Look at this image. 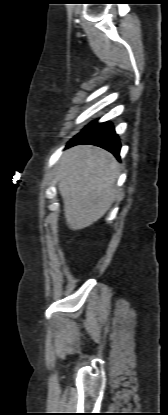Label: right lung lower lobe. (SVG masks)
Returning <instances> with one entry per match:
<instances>
[{
    "instance_id": "right-lung-lower-lobe-1",
    "label": "right lung lower lobe",
    "mask_w": 168,
    "mask_h": 415,
    "mask_svg": "<svg viewBox=\"0 0 168 415\" xmlns=\"http://www.w3.org/2000/svg\"><path fill=\"white\" fill-rule=\"evenodd\" d=\"M79 144H92L102 147L113 153L118 159L120 158L121 144L110 122L97 123V121H93L71 139L67 143V147Z\"/></svg>"
}]
</instances>
